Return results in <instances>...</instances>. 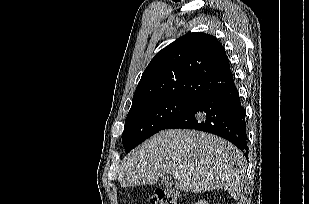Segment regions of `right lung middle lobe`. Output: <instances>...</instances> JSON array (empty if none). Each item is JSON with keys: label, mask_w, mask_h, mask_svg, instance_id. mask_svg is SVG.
Returning <instances> with one entry per match:
<instances>
[{"label": "right lung middle lobe", "mask_w": 309, "mask_h": 204, "mask_svg": "<svg viewBox=\"0 0 309 204\" xmlns=\"http://www.w3.org/2000/svg\"><path fill=\"white\" fill-rule=\"evenodd\" d=\"M196 102L198 100L191 98L165 97L132 105L122 133L125 151L130 152L144 140L163 130Z\"/></svg>", "instance_id": "right-lung-middle-lobe-1"}]
</instances>
